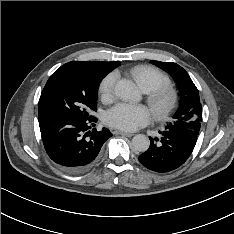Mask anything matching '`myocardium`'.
<instances>
[{
    "label": "myocardium",
    "instance_id": "myocardium-1",
    "mask_svg": "<svg viewBox=\"0 0 234 234\" xmlns=\"http://www.w3.org/2000/svg\"><path fill=\"white\" fill-rule=\"evenodd\" d=\"M147 102L154 117L165 120L177 107V92L171 86H160L148 92Z\"/></svg>",
    "mask_w": 234,
    "mask_h": 234
}]
</instances>
